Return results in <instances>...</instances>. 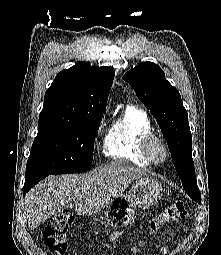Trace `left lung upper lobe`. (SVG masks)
<instances>
[{"instance_id": "5c2ea615", "label": "left lung upper lobe", "mask_w": 221, "mask_h": 255, "mask_svg": "<svg viewBox=\"0 0 221 255\" xmlns=\"http://www.w3.org/2000/svg\"><path fill=\"white\" fill-rule=\"evenodd\" d=\"M123 79L134 88L138 98L150 109L159 124L185 192L200 202L191 156L192 137L188 114L178 90L165 79L162 69L153 62L136 66Z\"/></svg>"}]
</instances>
